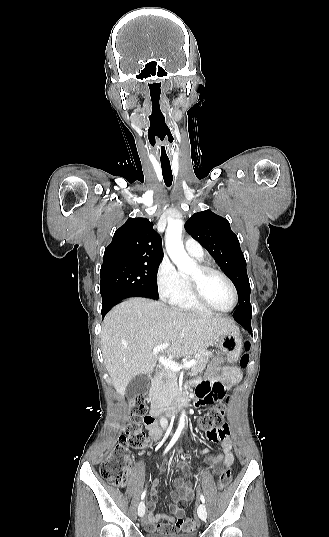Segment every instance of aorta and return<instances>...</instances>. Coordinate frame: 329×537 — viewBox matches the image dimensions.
I'll use <instances>...</instances> for the list:
<instances>
[{"mask_svg":"<svg viewBox=\"0 0 329 537\" xmlns=\"http://www.w3.org/2000/svg\"><path fill=\"white\" fill-rule=\"evenodd\" d=\"M183 230V222L181 220H174L170 222L166 229V249L171 260L177 266L178 270L182 273H189L191 270L197 267L196 262L188 256L184 250L181 240ZM185 411H182L179 425L185 426Z\"/></svg>","mask_w":329,"mask_h":537,"instance_id":"obj_1","label":"aorta"}]
</instances>
